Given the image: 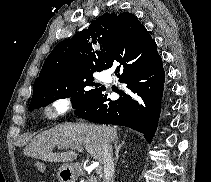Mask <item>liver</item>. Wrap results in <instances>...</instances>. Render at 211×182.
I'll use <instances>...</instances> for the list:
<instances>
[{
  "instance_id": "liver-1",
  "label": "liver",
  "mask_w": 211,
  "mask_h": 182,
  "mask_svg": "<svg viewBox=\"0 0 211 182\" xmlns=\"http://www.w3.org/2000/svg\"><path fill=\"white\" fill-rule=\"evenodd\" d=\"M117 130L114 127L93 124L57 125L37 135L24 149L29 157L48 162H72L78 156L74 151L53 153L52 149L84 147L97 161L103 163V145L117 140Z\"/></svg>"
}]
</instances>
